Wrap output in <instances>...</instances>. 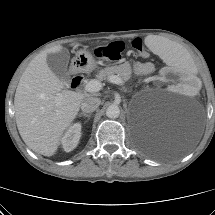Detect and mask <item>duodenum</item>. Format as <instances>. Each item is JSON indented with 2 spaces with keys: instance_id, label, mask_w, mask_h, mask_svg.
I'll list each match as a JSON object with an SVG mask.
<instances>
[{
  "instance_id": "1",
  "label": "duodenum",
  "mask_w": 215,
  "mask_h": 215,
  "mask_svg": "<svg viewBox=\"0 0 215 215\" xmlns=\"http://www.w3.org/2000/svg\"><path fill=\"white\" fill-rule=\"evenodd\" d=\"M82 82H83V77L80 74L75 73L72 76V79H71L72 87L77 88L78 86H80L82 84Z\"/></svg>"
}]
</instances>
